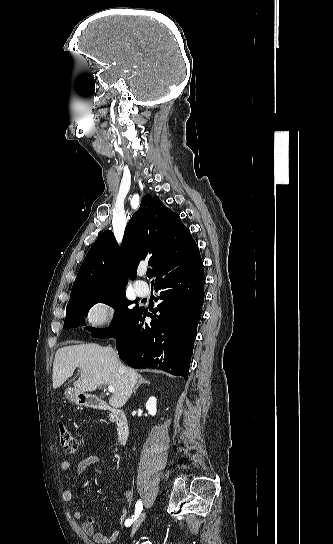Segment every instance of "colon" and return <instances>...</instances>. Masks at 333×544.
I'll return each instance as SVG.
<instances>
[{
	"label": "colon",
	"mask_w": 333,
	"mask_h": 544,
	"mask_svg": "<svg viewBox=\"0 0 333 544\" xmlns=\"http://www.w3.org/2000/svg\"><path fill=\"white\" fill-rule=\"evenodd\" d=\"M59 440L62 448L69 453H76L79 451L80 446L77 439L73 436L70 430L65 424L59 422Z\"/></svg>",
	"instance_id": "1"
}]
</instances>
